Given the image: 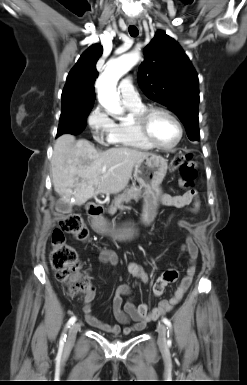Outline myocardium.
I'll return each instance as SVG.
<instances>
[{"label":"myocardium","mask_w":247,"mask_h":385,"mask_svg":"<svg viewBox=\"0 0 247 385\" xmlns=\"http://www.w3.org/2000/svg\"><path fill=\"white\" fill-rule=\"evenodd\" d=\"M164 114L168 116L172 121L175 123L177 129H178V137L176 141L171 145H161L157 143L151 133H150V120L151 118L157 114ZM135 125L137 130L139 131L140 135L143 137V139L152 147L160 149V150H171L175 148L182 140L184 135L183 126L180 122V120L169 110L162 108V107H150L145 108L141 114H139L135 119Z\"/></svg>","instance_id":"1"}]
</instances>
